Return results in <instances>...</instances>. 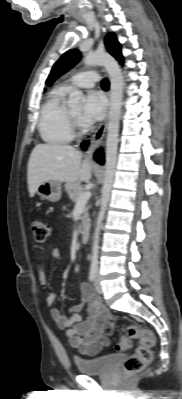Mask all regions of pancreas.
I'll list each match as a JSON object with an SVG mask.
<instances>
[{
    "label": "pancreas",
    "instance_id": "1",
    "mask_svg": "<svg viewBox=\"0 0 182 399\" xmlns=\"http://www.w3.org/2000/svg\"><path fill=\"white\" fill-rule=\"evenodd\" d=\"M65 189L69 195V198L75 203L78 201L80 194L84 191V189L81 186V183L79 181L66 183ZM81 220H82V223H81L80 228L82 231H84L89 226V222H90L89 215H88V207L84 208L83 216H82Z\"/></svg>",
    "mask_w": 182,
    "mask_h": 399
}]
</instances>
